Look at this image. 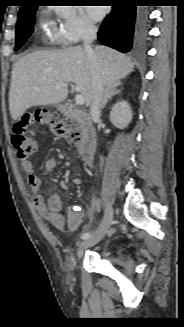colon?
I'll return each instance as SVG.
<instances>
[{"instance_id": "1", "label": "colon", "mask_w": 184, "mask_h": 327, "mask_svg": "<svg viewBox=\"0 0 184 327\" xmlns=\"http://www.w3.org/2000/svg\"><path fill=\"white\" fill-rule=\"evenodd\" d=\"M35 124L48 127L54 136L70 145L80 143V135L76 126L69 121L63 111L38 109L25 115L13 128L12 145L17 157L23 162L28 161L38 151V143L33 131Z\"/></svg>"}]
</instances>
